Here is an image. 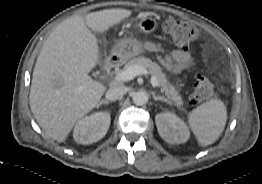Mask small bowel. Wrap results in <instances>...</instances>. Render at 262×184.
Returning a JSON list of instances; mask_svg holds the SVG:
<instances>
[{
  "label": "small bowel",
  "mask_w": 262,
  "mask_h": 184,
  "mask_svg": "<svg viewBox=\"0 0 262 184\" xmlns=\"http://www.w3.org/2000/svg\"><path fill=\"white\" fill-rule=\"evenodd\" d=\"M145 47L158 55L164 68L176 74L188 70L194 63L191 54L183 49L174 50L166 54L160 43L147 42Z\"/></svg>",
  "instance_id": "small-bowel-1"
}]
</instances>
